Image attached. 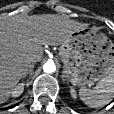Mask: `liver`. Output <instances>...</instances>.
Here are the masks:
<instances>
[{
  "instance_id": "liver-1",
  "label": "liver",
  "mask_w": 114,
  "mask_h": 114,
  "mask_svg": "<svg viewBox=\"0 0 114 114\" xmlns=\"http://www.w3.org/2000/svg\"><path fill=\"white\" fill-rule=\"evenodd\" d=\"M86 26L51 14L0 18V104L10 98L30 65L41 60L43 46H59Z\"/></svg>"
}]
</instances>
